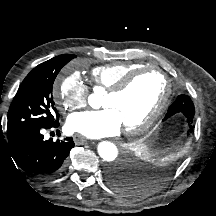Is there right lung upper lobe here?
Masks as SVG:
<instances>
[{
    "label": "right lung upper lobe",
    "instance_id": "right-lung-upper-lobe-1",
    "mask_svg": "<svg viewBox=\"0 0 216 216\" xmlns=\"http://www.w3.org/2000/svg\"><path fill=\"white\" fill-rule=\"evenodd\" d=\"M45 65H46V62H44V63L38 65L37 67H35V68L32 70V72H35V71L39 70L40 68H42V67L45 66Z\"/></svg>",
    "mask_w": 216,
    "mask_h": 216
}]
</instances>
